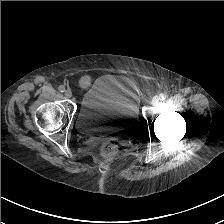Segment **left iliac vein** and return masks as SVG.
Returning <instances> with one entry per match:
<instances>
[{
  "mask_svg": "<svg viewBox=\"0 0 224 224\" xmlns=\"http://www.w3.org/2000/svg\"><path fill=\"white\" fill-rule=\"evenodd\" d=\"M159 103V98L158 97H154L151 101L152 105H157Z\"/></svg>",
  "mask_w": 224,
  "mask_h": 224,
  "instance_id": "1",
  "label": "left iliac vein"
}]
</instances>
